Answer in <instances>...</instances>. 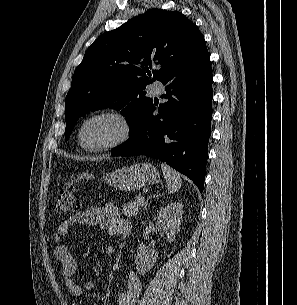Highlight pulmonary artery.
I'll use <instances>...</instances> for the list:
<instances>
[{"label":"pulmonary artery","mask_w":297,"mask_h":305,"mask_svg":"<svg viewBox=\"0 0 297 305\" xmlns=\"http://www.w3.org/2000/svg\"><path fill=\"white\" fill-rule=\"evenodd\" d=\"M151 91L154 94H161L164 91V86L161 82L159 81H155L152 85H151Z\"/></svg>","instance_id":"e3ab8cb5"}]
</instances>
